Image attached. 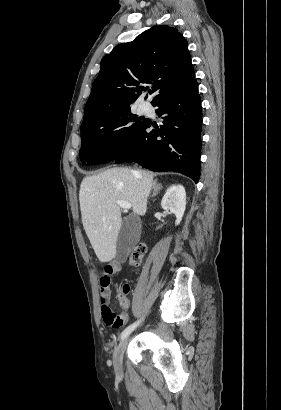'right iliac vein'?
Returning a JSON list of instances; mask_svg holds the SVG:
<instances>
[{"mask_svg":"<svg viewBox=\"0 0 281 410\" xmlns=\"http://www.w3.org/2000/svg\"><path fill=\"white\" fill-rule=\"evenodd\" d=\"M129 338H124L117 349L115 350L114 356H113V365L114 369L117 374H122V361H123V354L125 352V349L128 345Z\"/></svg>","mask_w":281,"mask_h":410,"instance_id":"63e3f726","label":"right iliac vein"}]
</instances>
